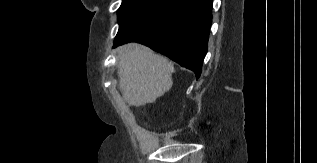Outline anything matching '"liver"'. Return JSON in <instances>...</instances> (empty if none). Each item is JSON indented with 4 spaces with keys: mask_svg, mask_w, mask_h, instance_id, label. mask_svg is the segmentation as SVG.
Returning a JSON list of instances; mask_svg holds the SVG:
<instances>
[{
    "mask_svg": "<svg viewBox=\"0 0 317 163\" xmlns=\"http://www.w3.org/2000/svg\"><path fill=\"white\" fill-rule=\"evenodd\" d=\"M174 65L165 57L141 46L119 49V89L130 106L153 103L172 87Z\"/></svg>",
    "mask_w": 317,
    "mask_h": 163,
    "instance_id": "liver-1",
    "label": "liver"
}]
</instances>
